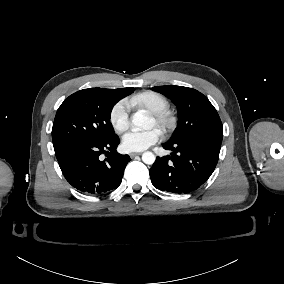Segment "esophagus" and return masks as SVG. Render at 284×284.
I'll return each mask as SVG.
<instances>
[{"label": "esophagus", "instance_id": "esophagus-1", "mask_svg": "<svg viewBox=\"0 0 284 284\" xmlns=\"http://www.w3.org/2000/svg\"><path fill=\"white\" fill-rule=\"evenodd\" d=\"M141 154H142L141 152H132L129 155H130L131 158H134L135 156L141 155Z\"/></svg>", "mask_w": 284, "mask_h": 284}]
</instances>
